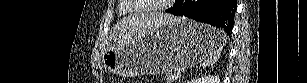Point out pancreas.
I'll return each mask as SVG.
<instances>
[{
    "label": "pancreas",
    "instance_id": "pancreas-1",
    "mask_svg": "<svg viewBox=\"0 0 307 83\" xmlns=\"http://www.w3.org/2000/svg\"><path fill=\"white\" fill-rule=\"evenodd\" d=\"M175 81H176L175 74L169 73V74L166 76V82H167V83H174Z\"/></svg>",
    "mask_w": 307,
    "mask_h": 83
}]
</instances>
